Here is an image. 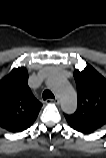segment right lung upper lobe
<instances>
[{
    "instance_id": "right-lung-upper-lobe-1",
    "label": "right lung upper lobe",
    "mask_w": 106,
    "mask_h": 158,
    "mask_svg": "<svg viewBox=\"0 0 106 158\" xmlns=\"http://www.w3.org/2000/svg\"><path fill=\"white\" fill-rule=\"evenodd\" d=\"M27 82L25 67L14 68L0 81V127L13 133L29 128L42 106Z\"/></svg>"
}]
</instances>
